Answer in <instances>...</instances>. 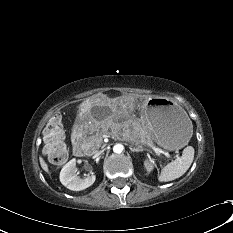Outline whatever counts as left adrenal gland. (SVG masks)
I'll return each mask as SVG.
<instances>
[{
	"label": "left adrenal gland",
	"instance_id": "obj_1",
	"mask_svg": "<svg viewBox=\"0 0 233 233\" xmlns=\"http://www.w3.org/2000/svg\"><path fill=\"white\" fill-rule=\"evenodd\" d=\"M130 150L132 152H142L144 149L142 148V146L138 145L136 148L133 146H130Z\"/></svg>",
	"mask_w": 233,
	"mask_h": 233
}]
</instances>
